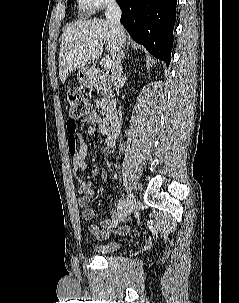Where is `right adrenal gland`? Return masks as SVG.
<instances>
[{
  "label": "right adrenal gland",
  "mask_w": 239,
  "mask_h": 303,
  "mask_svg": "<svg viewBox=\"0 0 239 303\" xmlns=\"http://www.w3.org/2000/svg\"><path fill=\"white\" fill-rule=\"evenodd\" d=\"M121 58H122V62H123V60H124V58H125V53H124V51L121 52Z\"/></svg>",
  "instance_id": "obj_1"
}]
</instances>
